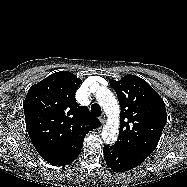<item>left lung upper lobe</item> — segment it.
Returning <instances> with one entry per match:
<instances>
[{
	"instance_id": "left-lung-upper-lobe-1",
	"label": "left lung upper lobe",
	"mask_w": 187,
	"mask_h": 187,
	"mask_svg": "<svg viewBox=\"0 0 187 187\" xmlns=\"http://www.w3.org/2000/svg\"><path fill=\"white\" fill-rule=\"evenodd\" d=\"M110 83L121 106L119 137L113 146L143 162L155 150L165 126L164 101L138 76L128 74Z\"/></svg>"
}]
</instances>
